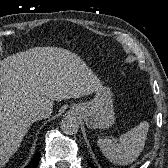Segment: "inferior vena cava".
<instances>
[{
    "mask_svg": "<svg viewBox=\"0 0 168 168\" xmlns=\"http://www.w3.org/2000/svg\"><path fill=\"white\" fill-rule=\"evenodd\" d=\"M51 112L44 107H36L28 112V117L31 121H38L44 118H48Z\"/></svg>",
    "mask_w": 168,
    "mask_h": 168,
    "instance_id": "602c4592",
    "label": "inferior vena cava"
}]
</instances>
